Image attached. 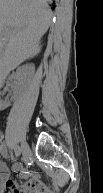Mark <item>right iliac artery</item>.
<instances>
[{"label":"right iliac artery","mask_w":103,"mask_h":193,"mask_svg":"<svg viewBox=\"0 0 103 193\" xmlns=\"http://www.w3.org/2000/svg\"><path fill=\"white\" fill-rule=\"evenodd\" d=\"M20 153H21L20 147H19V146H16V147H15V154H16V156L19 157V156H20Z\"/></svg>","instance_id":"82829eb1"}]
</instances>
